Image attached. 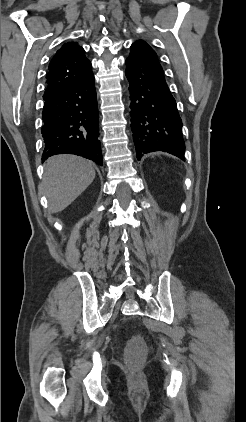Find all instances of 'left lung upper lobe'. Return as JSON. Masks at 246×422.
I'll list each match as a JSON object with an SVG mask.
<instances>
[{"instance_id":"obj_1","label":"left lung upper lobe","mask_w":246,"mask_h":422,"mask_svg":"<svg viewBox=\"0 0 246 422\" xmlns=\"http://www.w3.org/2000/svg\"><path fill=\"white\" fill-rule=\"evenodd\" d=\"M132 45H135V46L141 48L144 51V53L155 63V65L159 69L163 70L159 61H158V57H157L156 52L145 41L139 40V41H136L135 43H133Z\"/></svg>"}]
</instances>
